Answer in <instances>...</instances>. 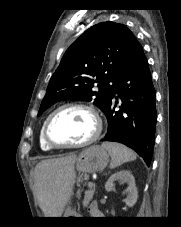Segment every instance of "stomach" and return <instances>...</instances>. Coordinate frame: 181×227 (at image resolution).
I'll list each match as a JSON object with an SVG mask.
<instances>
[{
  "mask_svg": "<svg viewBox=\"0 0 181 227\" xmlns=\"http://www.w3.org/2000/svg\"><path fill=\"white\" fill-rule=\"evenodd\" d=\"M109 162L107 150L99 145L84 149L77 157L75 168L79 173H93L103 170ZM77 213L68 207L63 217H78Z\"/></svg>",
  "mask_w": 181,
  "mask_h": 227,
  "instance_id": "0dacf381",
  "label": "stomach"
}]
</instances>
